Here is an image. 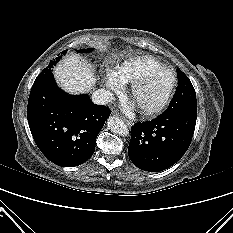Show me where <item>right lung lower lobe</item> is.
Masks as SVG:
<instances>
[{"mask_svg": "<svg viewBox=\"0 0 233 233\" xmlns=\"http://www.w3.org/2000/svg\"><path fill=\"white\" fill-rule=\"evenodd\" d=\"M110 114L87 94H66L52 73L34 82L27 107L35 143L51 162L62 167L78 166L93 155L96 138Z\"/></svg>", "mask_w": 233, "mask_h": 233, "instance_id": "1", "label": "right lung lower lobe"}]
</instances>
